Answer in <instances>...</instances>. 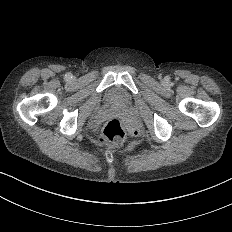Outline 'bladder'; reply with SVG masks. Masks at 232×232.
<instances>
[{"instance_id":"31cf9c89","label":"bladder","mask_w":232,"mask_h":232,"mask_svg":"<svg viewBox=\"0 0 232 232\" xmlns=\"http://www.w3.org/2000/svg\"><path fill=\"white\" fill-rule=\"evenodd\" d=\"M107 99L110 103L118 106H126L129 104L130 100L127 94L118 88L112 89L108 93Z\"/></svg>"}]
</instances>
